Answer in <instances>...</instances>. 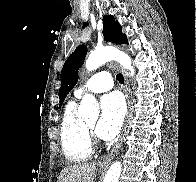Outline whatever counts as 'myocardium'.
<instances>
[{"mask_svg": "<svg viewBox=\"0 0 196 182\" xmlns=\"http://www.w3.org/2000/svg\"><path fill=\"white\" fill-rule=\"evenodd\" d=\"M86 127H87L88 133H92V127H90L89 125H87Z\"/></svg>", "mask_w": 196, "mask_h": 182, "instance_id": "obj_1", "label": "myocardium"}]
</instances>
